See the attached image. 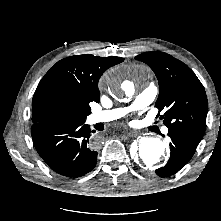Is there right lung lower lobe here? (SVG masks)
<instances>
[{
    "label": "right lung lower lobe",
    "instance_id": "1",
    "mask_svg": "<svg viewBox=\"0 0 221 221\" xmlns=\"http://www.w3.org/2000/svg\"><path fill=\"white\" fill-rule=\"evenodd\" d=\"M84 121L36 123L31 134L37 152L49 167L66 177H80L96 165L97 152Z\"/></svg>",
    "mask_w": 221,
    "mask_h": 221
}]
</instances>
